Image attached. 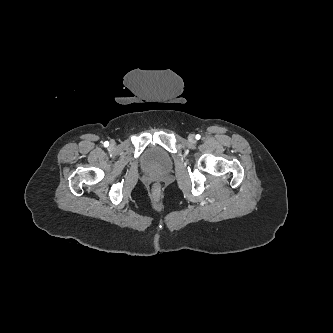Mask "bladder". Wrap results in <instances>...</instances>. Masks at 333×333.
<instances>
[{
	"mask_svg": "<svg viewBox=\"0 0 333 333\" xmlns=\"http://www.w3.org/2000/svg\"><path fill=\"white\" fill-rule=\"evenodd\" d=\"M141 163L147 171L165 173L170 169L172 162L165 149L160 146H152L143 153Z\"/></svg>",
	"mask_w": 333,
	"mask_h": 333,
	"instance_id": "31cf9c89",
	"label": "bladder"
}]
</instances>
